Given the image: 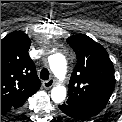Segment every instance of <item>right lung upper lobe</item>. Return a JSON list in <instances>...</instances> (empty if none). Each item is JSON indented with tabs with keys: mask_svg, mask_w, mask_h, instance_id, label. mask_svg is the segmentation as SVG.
Listing matches in <instances>:
<instances>
[{
	"mask_svg": "<svg viewBox=\"0 0 122 122\" xmlns=\"http://www.w3.org/2000/svg\"><path fill=\"white\" fill-rule=\"evenodd\" d=\"M30 45L28 35L20 31L1 40V111L21 107L41 86L28 54Z\"/></svg>",
	"mask_w": 122,
	"mask_h": 122,
	"instance_id": "obj_1",
	"label": "right lung upper lobe"
}]
</instances>
